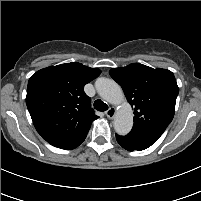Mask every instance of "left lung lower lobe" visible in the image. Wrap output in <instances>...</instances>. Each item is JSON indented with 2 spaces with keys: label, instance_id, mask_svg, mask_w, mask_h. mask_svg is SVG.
I'll use <instances>...</instances> for the list:
<instances>
[{
  "label": "left lung lower lobe",
  "instance_id": "obj_1",
  "mask_svg": "<svg viewBox=\"0 0 201 201\" xmlns=\"http://www.w3.org/2000/svg\"><path fill=\"white\" fill-rule=\"evenodd\" d=\"M160 136V134L152 132L131 131L126 136L116 134V139L117 142L128 151H141L153 145Z\"/></svg>",
  "mask_w": 201,
  "mask_h": 201
}]
</instances>
